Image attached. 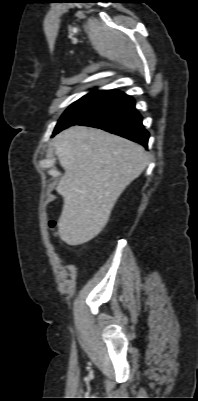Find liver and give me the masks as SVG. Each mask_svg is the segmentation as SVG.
I'll list each match as a JSON object with an SVG mask.
<instances>
[{"instance_id": "1", "label": "liver", "mask_w": 198, "mask_h": 401, "mask_svg": "<svg viewBox=\"0 0 198 401\" xmlns=\"http://www.w3.org/2000/svg\"><path fill=\"white\" fill-rule=\"evenodd\" d=\"M54 148L65 171L56 187L64 200L59 236L68 245H81L105 227L117 199L149 157L135 142L84 126L59 133Z\"/></svg>"}]
</instances>
